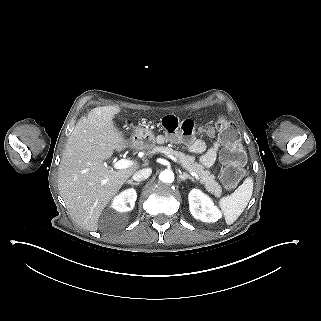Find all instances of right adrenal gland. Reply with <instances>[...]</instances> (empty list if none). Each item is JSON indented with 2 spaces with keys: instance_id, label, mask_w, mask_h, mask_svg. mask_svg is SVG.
Listing matches in <instances>:
<instances>
[{
  "instance_id": "1",
  "label": "right adrenal gland",
  "mask_w": 321,
  "mask_h": 321,
  "mask_svg": "<svg viewBox=\"0 0 321 321\" xmlns=\"http://www.w3.org/2000/svg\"><path fill=\"white\" fill-rule=\"evenodd\" d=\"M125 183L130 185H135V186H139L142 184V182H133L132 179L125 181Z\"/></svg>"
}]
</instances>
